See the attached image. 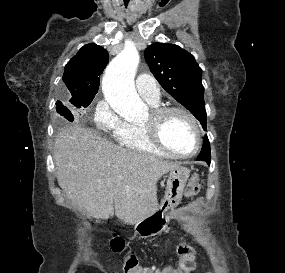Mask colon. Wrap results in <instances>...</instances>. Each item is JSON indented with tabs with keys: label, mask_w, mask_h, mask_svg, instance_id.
Returning a JSON list of instances; mask_svg holds the SVG:
<instances>
[{
	"label": "colon",
	"mask_w": 285,
	"mask_h": 273,
	"mask_svg": "<svg viewBox=\"0 0 285 273\" xmlns=\"http://www.w3.org/2000/svg\"><path fill=\"white\" fill-rule=\"evenodd\" d=\"M203 186V182L197 174H194L185 189V197L192 198L198 194ZM124 240L120 237H114L110 241L111 250L115 253H122L124 250ZM177 262L176 265L167 270L172 273H191L196 266V250L187 243L182 242L177 246ZM123 272L124 273H153L151 268H144L139 265L136 256L127 255L123 258Z\"/></svg>",
	"instance_id": "colon-1"
}]
</instances>
